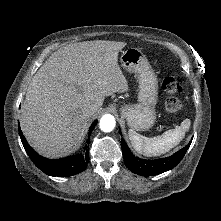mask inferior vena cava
Instances as JSON below:
<instances>
[{
    "mask_svg": "<svg viewBox=\"0 0 221 221\" xmlns=\"http://www.w3.org/2000/svg\"><path fill=\"white\" fill-rule=\"evenodd\" d=\"M97 111V107L93 104L85 105L83 108V113L85 116H92Z\"/></svg>",
    "mask_w": 221,
    "mask_h": 221,
    "instance_id": "1",
    "label": "inferior vena cava"
}]
</instances>
